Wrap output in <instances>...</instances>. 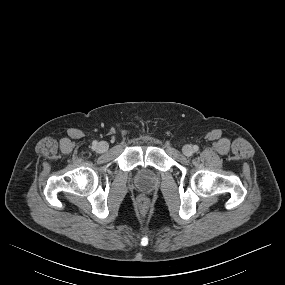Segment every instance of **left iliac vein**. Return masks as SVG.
Listing matches in <instances>:
<instances>
[{"instance_id": "1", "label": "left iliac vein", "mask_w": 285, "mask_h": 285, "mask_svg": "<svg viewBox=\"0 0 285 285\" xmlns=\"http://www.w3.org/2000/svg\"><path fill=\"white\" fill-rule=\"evenodd\" d=\"M182 151H183V154L186 156H191L193 154V148L190 145H185Z\"/></svg>"}]
</instances>
